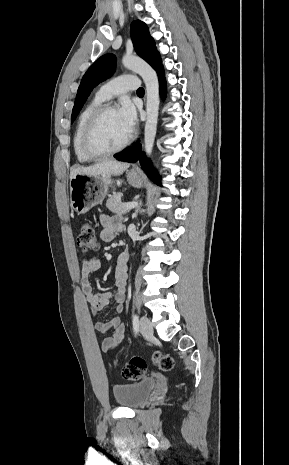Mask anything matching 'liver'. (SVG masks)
I'll return each mask as SVG.
<instances>
[{
  "label": "liver",
  "instance_id": "obj_1",
  "mask_svg": "<svg viewBox=\"0 0 289 465\" xmlns=\"http://www.w3.org/2000/svg\"><path fill=\"white\" fill-rule=\"evenodd\" d=\"M129 163L118 162L115 160L103 161L88 167H77L72 169L70 172V178L78 175H121L125 170L129 168Z\"/></svg>",
  "mask_w": 289,
  "mask_h": 465
}]
</instances>
